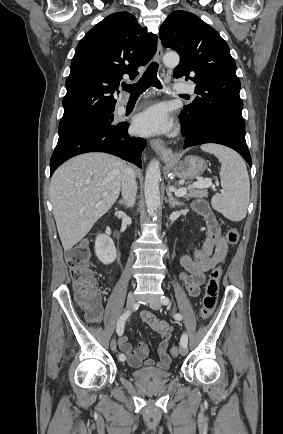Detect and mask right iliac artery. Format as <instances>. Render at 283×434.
<instances>
[{
	"instance_id": "right-iliac-artery-1",
	"label": "right iliac artery",
	"mask_w": 283,
	"mask_h": 434,
	"mask_svg": "<svg viewBox=\"0 0 283 434\" xmlns=\"http://www.w3.org/2000/svg\"><path fill=\"white\" fill-rule=\"evenodd\" d=\"M130 314H131V311H126L119 318V320L117 322V327H116V332L119 336H121L123 334L125 322H126L127 318L130 316ZM118 358L120 361H125V359H126L125 356H123V354H120Z\"/></svg>"
}]
</instances>
